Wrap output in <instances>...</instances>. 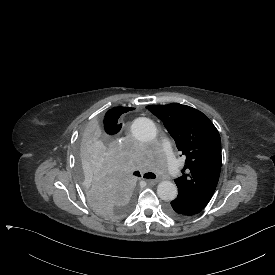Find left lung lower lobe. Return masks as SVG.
<instances>
[{
  "mask_svg": "<svg viewBox=\"0 0 275 275\" xmlns=\"http://www.w3.org/2000/svg\"><path fill=\"white\" fill-rule=\"evenodd\" d=\"M205 206L198 204L190 198L177 197L167 206L168 215L175 219H186L191 216L199 214Z\"/></svg>",
  "mask_w": 275,
  "mask_h": 275,
  "instance_id": "obj_1",
  "label": "left lung lower lobe"
}]
</instances>
